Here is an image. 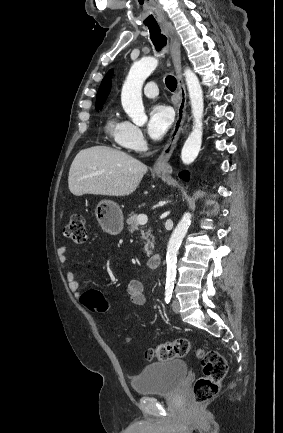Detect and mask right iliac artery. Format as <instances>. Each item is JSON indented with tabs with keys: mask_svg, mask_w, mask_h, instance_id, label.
<instances>
[{
	"mask_svg": "<svg viewBox=\"0 0 283 433\" xmlns=\"http://www.w3.org/2000/svg\"><path fill=\"white\" fill-rule=\"evenodd\" d=\"M173 288L167 287L165 292V302L169 303L172 297Z\"/></svg>",
	"mask_w": 283,
	"mask_h": 433,
	"instance_id": "1",
	"label": "right iliac artery"
}]
</instances>
